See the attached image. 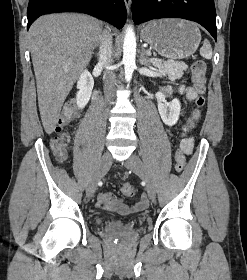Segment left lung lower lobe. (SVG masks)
Listing matches in <instances>:
<instances>
[{
  "instance_id": "obj_1",
  "label": "left lung lower lobe",
  "mask_w": 247,
  "mask_h": 280,
  "mask_svg": "<svg viewBox=\"0 0 247 280\" xmlns=\"http://www.w3.org/2000/svg\"><path fill=\"white\" fill-rule=\"evenodd\" d=\"M132 13L136 24L168 17L192 20L217 38L214 0H133Z\"/></svg>"
}]
</instances>
